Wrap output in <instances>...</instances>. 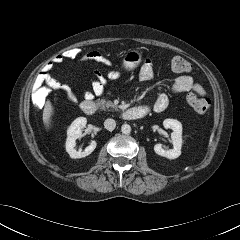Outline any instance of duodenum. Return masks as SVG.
I'll use <instances>...</instances> for the list:
<instances>
[{
	"label": "duodenum",
	"mask_w": 240,
	"mask_h": 240,
	"mask_svg": "<svg viewBox=\"0 0 240 240\" xmlns=\"http://www.w3.org/2000/svg\"><path fill=\"white\" fill-rule=\"evenodd\" d=\"M80 107L87 115H92L96 111V105L90 99L84 100ZM146 114L147 110L143 107H130L121 112V117L125 120H138L145 117Z\"/></svg>",
	"instance_id": "410a0bca"
}]
</instances>
